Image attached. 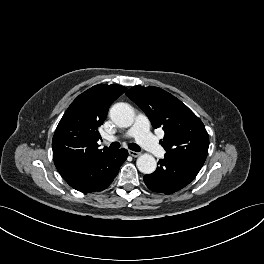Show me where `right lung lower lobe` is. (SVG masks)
<instances>
[{"mask_svg": "<svg viewBox=\"0 0 264 264\" xmlns=\"http://www.w3.org/2000/svg\"><path fill=\"white\" fill-rule=\"evenodd\" d=\"M127 156L126 149L111 150L63 178L71 187L80 192H100L112 183Z\"/></svg>", "mask_w": 264, "mask_h": 264, "instance_id": "1", "label": "right lung lower lobe"}]
</instances>
